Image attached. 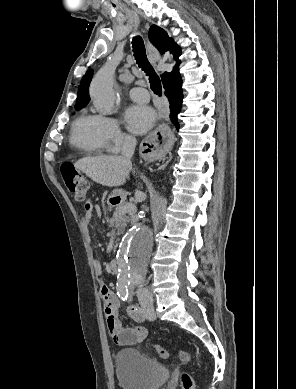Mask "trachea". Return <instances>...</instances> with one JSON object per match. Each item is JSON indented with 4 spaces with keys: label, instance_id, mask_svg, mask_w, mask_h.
<instances>
[{
    "label": "trachea",
    "instance_id": "trachea-1",
    "mask_svg": "<svg viewBox=\"0 0 296 389\" xmlns=\"http://www.w3.org/2000/svg\"><path fill=\"white\" fill-rule=\"evenodd\" d=\"M132 47L134 52V57L140 68L149 76V82L151 90L161 96L162 86L159 77L154 72L152 65L150 64L145 50L144 41L141 36H136L132 40Z\"/></svg>",
    "mask_w": 296,
    "mask_h": 389
}]
</instances>
